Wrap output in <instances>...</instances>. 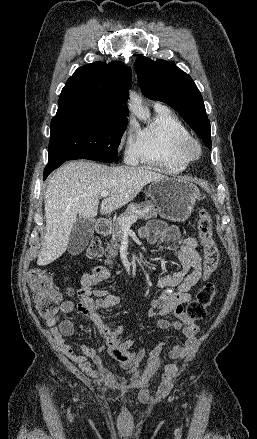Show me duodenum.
Here are the masks:
<instances>
[{"label": "duodenum", "instance_id": "obj_1", "mask_svg": "<svg viewBox=\"0 0 257 439\" xmlns=\"http://www.w3.org/2000/svg\"><path fill=\"white\" fill-rule=\"evenodd\" d=\"M96 229L99 235L105 236L109 233L110 230V224L108 221L105 220H99L96 223Z\"/></svg>", "mask_w": 257, "mask_h": 439}]
</instances>
